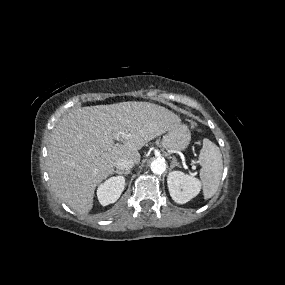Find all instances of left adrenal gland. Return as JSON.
Segmentation results:
<instances>
[{
	"mask_svg": "<svg viewBox=\"0 0 285 285\" xmlns=\"http://www.w3.org/2000/svg\"><path fill=\"white\" fill-rule=\"evenodd\" d=\"M175 166L181 167L180 164L177 162L176 158L173 157L172 161H171L170 168L172 169Z\"/></svg>",
	"mask_w": 285,
	"mask_h": 285,
	"instance_id": "obj_1",
	"label": "left adrenal gland"
}]
</instances>
